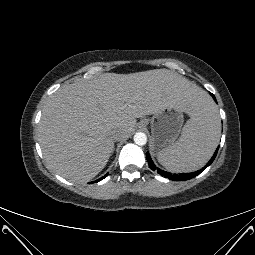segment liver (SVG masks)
Here are the masks:
<instances>
[{
    "label": "liver",
    "instance_id": "obj_1",
    "mask_svg": "<svg viewBox=\"0 0 255 255\" xmlns=\"http://www.w3.org/2000/svg\"><path fill=\"white\" fill-rule=\"evenodd\" d=\"M206 96L168 69L104 73L63 86L50 96L39 122L44 159L62 177L87 182L106 166L114 149V131L128 138L136 118L166 106L192 115Z\"/></svg>",
    "mask_w": 255,
    "mask_h": 255
}]
</instances>
